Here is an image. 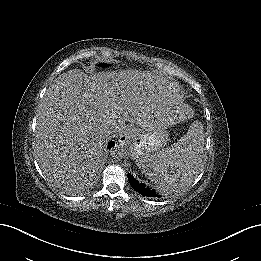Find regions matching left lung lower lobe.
<instances>
[{
  "label": "left lung lower lobe",
  "instance_id": "obj_1",
  "mask_svg": "<svg viewBox=\"0 0 261 261\" xmlns=\"http://www.w3.org/2000/svg\"><path fill=\"white\" fill-rule=\"evenodd\" d=\"M177 169L179 170V172L181 171V167H180V169H179V167ZM128 180H129V183L132 186V188L134 190L138 191L141 195H144L146 197H152V198H155V197L159 198L161 196L154 189H151V188L145 186L143 183H139L137 180H135L133 178V176L130 173H128Z\"/></svg>",
  "mask_w": 261,
  "mask_h": 261
}]
</instances>
